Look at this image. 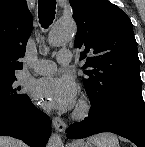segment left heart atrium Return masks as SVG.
<instances>
[{"label":"left heart atrium","mask_w":145,"mask_h":147,"mask_svg":"<svg viewBox=\"0 0 145 147\" xmlns=\"http://www.w3.org/2000/svg\"><path fill=\"white\" fill-rule=\"evenodd\" d=\"M33 96L47 108L66 111L75 105L77 88L71 76L46 77L35 83Z\"/></svg>","instance_id":"1"}]
</instances>
